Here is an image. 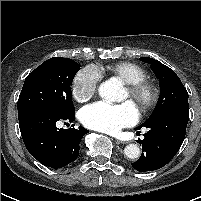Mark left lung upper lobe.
I'll return each mask as SVG.
<instances>
[{"label": "left lung upper lobe", "instance_id": "1", "mask_svg": "<svg viewBox=\"0 0 201 201\" xmlns=\"http://www.w3.org/2000/svg\"><path fill=\"white\" fill-rule=\"evenodd\" d=\"M140 60L150 64L160 84V97L157 105L144 123L171 110H189L188 92L175 72L155 59L142 57Z\"/></svg>", "mask_w": 201, "mask_h": 201}]
</instances>
